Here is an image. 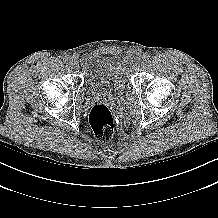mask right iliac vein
I'll return each instance as SVG.
<instances>
[{
	"instance_id": "right-iliac-vein-1",
	"label": "right iliac vein",
	"mask_w": 218,
	"mask_h": 218,
	"mask_svg": "<svg viewBox=\"0 0 218 218\" xmlns=\"http://www.w3.org/2000/svg\"><path fill=\"white\" fill-rule=\"evenodd\" d=\"M69 64L73 69H76L78 67V61L76 58H71L69 61Z\"/></svg>"
}]
</instances>
